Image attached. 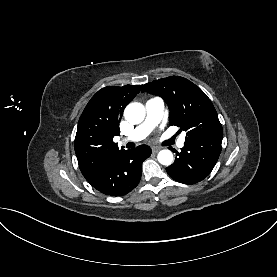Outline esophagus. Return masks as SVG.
Masks as SVG:
<instances>
[{"instance_id":"1","label":"esophagus","mask_w":277,"mask_h":277,"mask_svg":"<svg viewBox=\"0 0 277 277\" xmlns=\"http://www.w3.org/2000/svg\"><path fill=\"white\" fill-rule=\"evenodd\" d=\"M151 150H152L153 153H157V152L160 151V148L154 146V147L151 148Z\"/></svg>"}]
</instances>
